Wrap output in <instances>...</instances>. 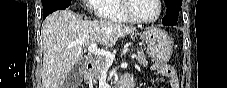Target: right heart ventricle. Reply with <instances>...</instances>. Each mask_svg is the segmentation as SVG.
Here are the masks:
<instances>
[{
    "label": "right heart ventricle",
    "mask_w": 227,
    "mask_h": 88,
    "mask_svg": "<svg viewBox=\"0 0 227 88\" xmlns=\"http://www.w3.org/2000/svg\"><path fill=\"white\" fill-rule=\"evenodd\" d=\"M91 8L100 19L131 22L125 15L122 5L124 0H90Z\"/></svg>",
    "instance_id": "obj_1"
}]
</instances>
